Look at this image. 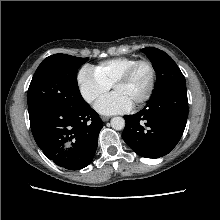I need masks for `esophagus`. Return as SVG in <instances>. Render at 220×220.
I'll return each mask as SVG.
<instances>
[{
    "mask_svg": "<svg viewBox=\"0 0 220 220\" xmlns=\"http://www.w3.org/2000/svg\"><path fill=\"white\" fill-rule=\"evenodd\" d=\"M101 119H102L103 122H106V121H108V120L110 119V117H108V116H103V117H101Z\"/></svg>",
    "mask_w": 220,
    "mask_h": 220,
    "instance_id": "obj_1",
    "label": "esophagus"
}]
</instances>
